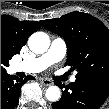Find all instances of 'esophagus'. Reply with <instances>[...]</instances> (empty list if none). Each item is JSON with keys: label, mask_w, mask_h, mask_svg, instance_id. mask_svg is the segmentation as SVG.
<instances>
[{"label": "esophagus", "mask_w": 109, "mask_h": 109, "mask_svg": "<svg viewBox=\"0 0 109 109\" xmlns=\"http://www.w3.org/2000/svg\"><path fill=\"white\" fill-rule=\"evenodd\" d=\"M40 82L44 85V86H50L52 83L47 80V79H40Z\"/></svg>", "instance_id": "34e87169"}]
</instances>
